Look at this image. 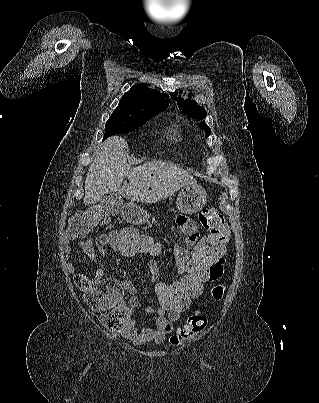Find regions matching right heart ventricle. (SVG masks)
I'll use <instances>...</instances> for the list:
<instances>
[{
	"mask_svg": "<svg viewBox=\"0 0 319 403\" xmlns=\"http://www.w3.org/2000/svg\"><path fill=\"white\" fill-rule=\"evenodd\" d=\"M172 136L176 141L181 140V133L178 127H173L172 130Z\"/></svg>",
	"mask_w": 319,
	"mask_h": 403,
	"instance_id": "right-heart-ventricle-1",
	"label": "right heart ventricle"
}]
</instances>
